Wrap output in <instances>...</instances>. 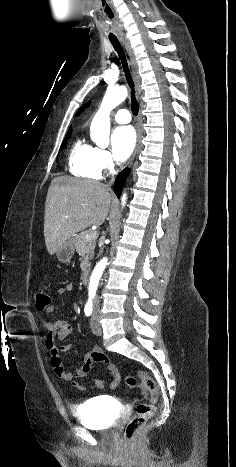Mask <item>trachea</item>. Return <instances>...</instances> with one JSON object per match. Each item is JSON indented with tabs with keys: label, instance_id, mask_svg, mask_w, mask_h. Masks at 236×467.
Listing matches in <instances>:
<instances>
[{
	"label": "trachea",
	"instance_id": "3493384b",
	"mask_svg": "<svg viewBox=\"0 0 236 467\" xmlns=\"http://www.w3.org/2000/svg\"><path fill=\"white\" fill-rule=\"evenodd\" d=\"M109 39H110V42L112 43L113 47L115 48V50L117 51V53L119 55V58L121 60L122 66H123V70L125 72L126 80H127L128 84H129L131 90H132L131 91V110H132V113L136 116L138 114V111H139V106H138V103H137V100H136V97H135L134 82L132 80V77H131V74H130V71H129V68H128L126 56L124 54L123 48L120 45L118 39L117 38H109Z\"/></svg>",
	"mask_w": 236,
	"mask_h": 467
}]
</instances>
